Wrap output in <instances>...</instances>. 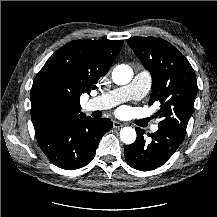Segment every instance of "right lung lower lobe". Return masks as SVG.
<instances>
[{
	"instance_id": "1",
	"label": "right lung lower lobe",
	"mask_w": 217,
	"mask_h": 217,
	"mask_svg": "<svg viewBox=\"0 0 217 217\" xmlns=\"http://www.w3.org/2000/svg\"><path fill=\"white\" fill-rule=\"evenodd\" d=\"M112 126L110 119L82 115L35 133L40 148L54 165L75 170L93 159L100 139Z\"/></svg>"
}]
</instances>
